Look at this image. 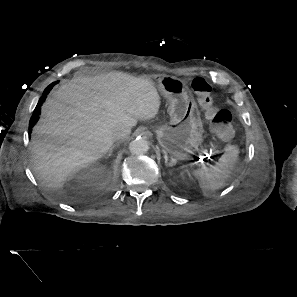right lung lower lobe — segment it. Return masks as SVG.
<instances>
[{
	"label": "right lung lower lobe",
	"mask_w": 297,
	"mask_h": 297,
	"mask_svg": "<svg viewBox=\"0 0 297 297\" xmlns=\"http://www.w3.org/2000/svg\"><path fill=\"white\" fill-rule=\"evenodd\" d=\"M53 86H48L45 90H44V93H43V96L40 98V100H39V102H38V104H37V106H36V108H35V110H34V113H33V115H32V117H31V119H30V128H32L35 124H36V122L38 121V114L40 113V106H41V104H42V102L44 101V98L46 97V95L49 93V91L51 90V88H52Z\"/></svg>",
	"instance_id": "right-lung-lower-lobe-1"
}]
</instances>
